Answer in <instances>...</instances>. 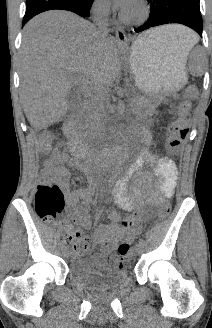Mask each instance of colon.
<instances>
[{
  "label": "colon",
  "mask_w": 212,
  "mask_h": 328,
  "mask_svg": "<svg viewBox=\"0 0 212 328\" xmlns=\"http://www.w3.org/2000/svg\"><path fill=\"white\" fill-rule=\"evenodd\" d=\"M199 92L196 87H189L185 93V99L181 104V116L170 127V137L168 140V149L173 154L180 152L182 144L188 135L191 106L197 100ZM52 137L46 135L40 139L39 149L46 152L50 149ZM65 206V196L62 188L55 183L39 184L35 192V211L38 217L47 223H56L57 216L62 212ZM171 211L170 203H165L159 210V218L165 219ZM63 238L71 245L74 251H82L86 248L87 239L81 231L67 232ZM119 254L124 258L130 253V245L123 242L118 247ZM121 267L124 264L121 263Z\"/></svg>",
  "instance_id": "1"
}]
</instances>
